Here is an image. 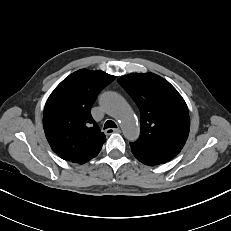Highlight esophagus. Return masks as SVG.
<instances>
[{"label": "esophagus", "mask_w": 231, "mask_h": 231, "mask_svg": "<svg viewBox=\"0 0 231 231\" xmlns=\"http://www.w3.org/2000/svg\"><path fill=\"white\" fill-rule=\"evenodd\" d=\"M119 132H120V129H119V128H109V129H106V130H105V133H106L107 135L112 134V133H119Z\"/></svg>", "instance_id": "34e87169"}]
</instances>
